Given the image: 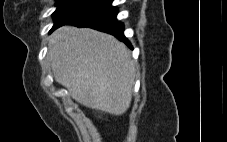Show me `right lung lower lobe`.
Wrapping results in <instances>:
<instances>
[{
	"instance_id": "98d812e1",
	"label": "right lung lower lobe",
	"mask_w": 227,
	"mask_h": 142,
	"mask_svg": "<svg viewBox=\"0 0 227 142\" xmlns=\"http://www.w3.org/2000/svg\"><path fill=\"white\" fill-rule=\"evenodd\" d=\"M117 13L118 9L116 7L111 6L110 4L109 6L103 9L91 12L79 18H75L70 21L56 25L54 28H52V30L65 24H71L77 27H89L112 34L131 47L129 41L123 34L124 31L123 23L119 22L116 19Z\"/></svg>"
}]
</instances>
